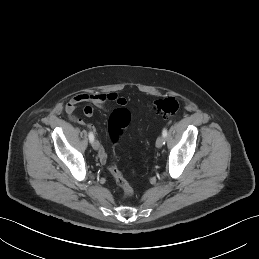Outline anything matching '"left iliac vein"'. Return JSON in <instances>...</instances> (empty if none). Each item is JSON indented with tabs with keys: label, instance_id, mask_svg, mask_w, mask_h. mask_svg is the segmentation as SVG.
Returning <instances> with one entry per match:
<instances>
[{
	"label": "left iliac vein",
	"instance_id": "left-iliac-vein-1",
	"mask_svg": "<svg viewBox=\"0 0 259 259\" xmlns=\"http://www.w3.org/2000/svg\"><path fill=\"white\" fill-rule=\"evenodd\" d=\"M163 143H164V138L162 136H159L156 140V147L157 148H161L163 146Z\"/></svg>",
	"mask_w": 259,
	"mask_h": 259
}]
</instances>
